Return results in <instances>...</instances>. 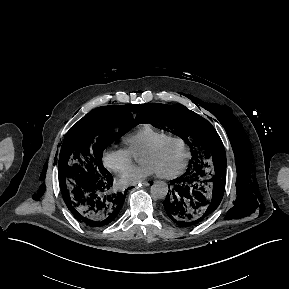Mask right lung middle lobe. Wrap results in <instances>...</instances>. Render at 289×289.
<instances>
[{"label": "right lung middle lobe", "instance_id": "dd1d6c3e", "mask_svg": "<svg viewBox=\"0 0 289 289\" xmlns=\"http://www.w3.org/2000/svg\"><path fill=\"white\" fill-rule=\"evenodd\" d=\"M138 107L134 104L99 107L71 128L59 155L62 194L91 186L109 174L101 163V154L109 143L138 124L137 119H133Z\"/></svg>", "mask_w": 289, "mask_h": 289}]
</instances>
